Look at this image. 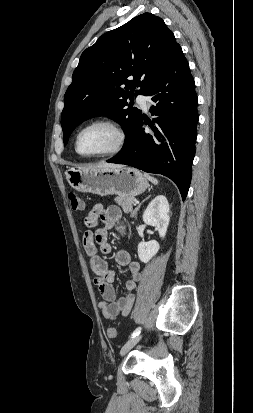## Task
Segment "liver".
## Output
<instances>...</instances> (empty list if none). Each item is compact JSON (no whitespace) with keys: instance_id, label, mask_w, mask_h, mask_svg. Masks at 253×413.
Returning a JSON list of instances; mask_svg holds the SVG:
<instances>
[{"instance_id":"1","label":"liver","mask_w":253,"mask_h":413,"mask_svg":"<svg viewBox=\"0 0 253 413\" xmlns=\"http://www.w3.org/2000/svg\"><path fill=\"white\" fill-rule=\"evenodd\" d=\"M122 166L123 165H120V164L101 162L99 164L92 165V166L85 167V168H118Z\"/></svg>"}]
</instances>
